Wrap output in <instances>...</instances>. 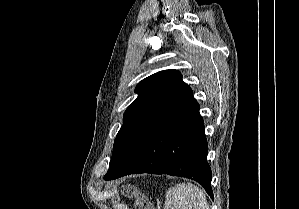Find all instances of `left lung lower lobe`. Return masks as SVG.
<instances>
[{"mask_svg": "<svg viewBox=\"0 0 299 209\" xmlns=\"http://www.w3.org/2000/svg\"><path fill=\"white\" fill-rule=\"evenodd\" d=\"M200 106L189 86L157 109L125 142L105 180L135 173L168 174L199 182L213 199L212 173Z\"/></svg>", "mask_w": 299, "mask_h": 209, "instance_id": "left-lung-lower-lobe-1", "label": "left lung lower lobe"}]
</instances>
